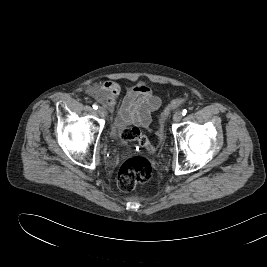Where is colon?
Segmentation results:
<instances>
[{
    "mask_svg": "<svg viewBox=\"0 0 267 267\" xmlns=\"http://www.w3.org/2000/svg\"><path fill=\"white\" fill-rule=\"evenodd\" d=\"M186 99L178 97L173 99L160 115L163 122L170 113L185 103ZM164 137L163 125L161 124L157 130L158 142ZM120 139L123 144L137 142L146 148L150 153L156 151V147L137 127H126L121 131ZM153 169L150 161L142 156H133L127 159L120 167L117 175V186L123 192H130L138 185L145 184L152 178Z\"/></svg>",
    "mask_w": 267,
    "mask_h": 267,
    "instance_id": "colon-1",
    "label": "colon"
}]
</instances>
